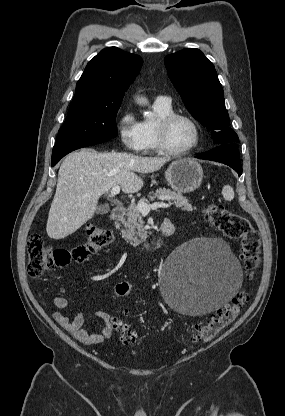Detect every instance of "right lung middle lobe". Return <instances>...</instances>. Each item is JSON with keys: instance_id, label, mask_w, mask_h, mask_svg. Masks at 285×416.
Here are the masks:
<instances>
[{"instance_id": "obj_1", "label": "right lung middle lobe", "mask_w": 285, "mask_h": 416, "mask_svg": "<svg viewBox=\"0 0 285 416\" xmlns=\"http://www.w3.org/2000/svg\"><path fill=\"white\" fill-rule=\"evenodd\" d=\"M121 100L80 102L73 100L57 141L71 139H111L117 136L116 115Z\"/></svg>"}]
</instances>
